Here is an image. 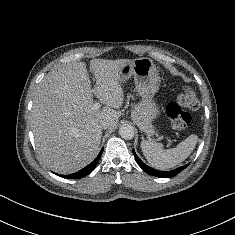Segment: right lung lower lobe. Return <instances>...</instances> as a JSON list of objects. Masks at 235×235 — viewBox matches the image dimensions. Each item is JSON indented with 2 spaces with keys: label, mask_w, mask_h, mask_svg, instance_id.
<instances>
[{
  "label": "right lung lower lobe",
  "mask_w": 235,
  "mask_h": 235,
  "mask_svg": "<svg viewBox=\"0 0 235 235\" xmlns=\"http://www.w3.org/2000/svg\"><path fill=\"white\" fill-rule=\"evenodd\" d=\"M102 152H103V149L100 151V153L98 154V156L96 157V159L92 163H90L89 165H87L86 167L81 169L80 171L73 173V174H70V175H59V174H57V175L60 177H63V178H68V179H77V178H82V177L88 175L95 168Z\"/></svg>",
  "instance_id": "obj_1"
}]
</instances>
